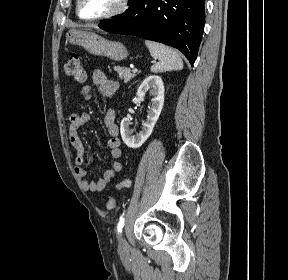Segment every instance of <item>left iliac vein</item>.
<instances>
[{
    "label": "left iliac vein",
    "instance_id": "left-iliac-vein-1",
    "mask_svg": "<svg viewBox=\"0 0 288 280\" xmlns=\"http://www.w3.org/2000/svg\"><path fill=\"white\" fill-rule=\"evenodd\" d=\"M120 247L122 249H125L127 247V242L125 240V238L121 235V240H120Z\"/></svg>",
    "mask_w": 288,
    "mask_h": 280
}]
</instances>
